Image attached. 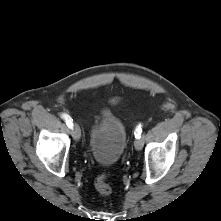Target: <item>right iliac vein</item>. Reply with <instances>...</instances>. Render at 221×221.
Wrapping results in <instances>:
<instances>
[{
    "label": "right iliac vein",
    "mask_w": 221,
    "mask_h": 221,
    "mask_svg": "<svg viewBox=\"0 0 221 221\" xmlns=\"http://www.w3.org/2000/svg\"><path fill=\"white\" fill-rule=\"evenodd\" d=\"M72 136H73L74 140H76V141H78L81 137V131H80V128L77 124L73 125Z\"/></svg>",
    "instance_id": "1"
}]
</instances>
